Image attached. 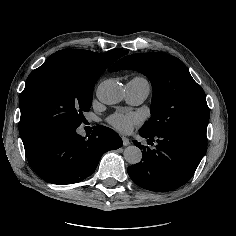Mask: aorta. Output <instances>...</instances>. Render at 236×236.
Segmentation results:
<instances>
[{
	"label": "aorta",
	"mask_w": 236,
	"mask_h": 236,
	"mask_svg": "<svg viewBox=\"0 0 236 236\" xmlns=\"http://www.w3.org/2000/svg\"><path fill=\"white\" fill-rule=\"evenodd\" d=\"M96 96L104 104H116L123 98V87L119 82L108 79L100 83ZM123 155L126 162L132 165L139 163L142 159L141 149L134 145L126 147Z\"/></svg>",
	"instance_id": "aorta-1"
}]
</instances>
